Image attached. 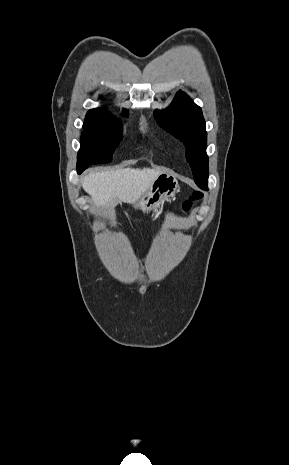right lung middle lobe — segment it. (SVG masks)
<instances>
[{
	"instance_id": "dd1d6c3e",
	"label": "right lung middle lobe",
	"mask_w": 289,
	"mask_h": 465,
	"mask_svg": "<svg viewBox=\"0 0 289 465\" xmlns=\"http://www.w3.org/2000/svg\"><path fill=\"white\" fill-rule=\"evenodd\" d=\"M124 114H127L126 110ZM83 128L77 168L85 170L92 164L111 162L114 148L123 138L122 128L115 118L107 126Z\"/></svg>"
}]
</instances>
